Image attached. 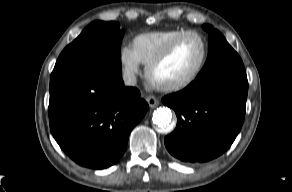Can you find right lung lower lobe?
I'll return each instance as SVG.
<instances>
[{
    "label": "right lung lower lobe",
    "mask_w": 292,
    "mask_h": 192,
    "mask_svg": "<svg viewBox=\"0 0 292 192\" xmlns=\"http://www.w3.org/2000/svg\"><path fill=\"white\" fill-rule=\"evenodd\" d=\"M148 108L138 89L124 86L121 70L106 62H56L50 79V129L79 165L104 169L115 164Z\"/></svg>",
    "instance_id": "obj_1"
}]
</instances>
